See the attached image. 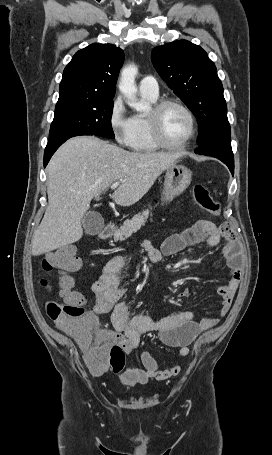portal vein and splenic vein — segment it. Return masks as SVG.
I'll return each instance as SVG.
<instances>
[{"label":"portal vein and splenic vein","mask_w":272,"mask_h":455,"mask_svg":"<svg viewBox=\"0 0 272 455\" xmlns=\"http://www.w3.org/2000/svg\"><path fill=\"white\" fill-rule=\"evenodd\" d=\"M120 182L119 181H116L114 182L112 185H111V189H115L119 186Z\"/></svg>","instance_id":"portal-vein-and-splenic-vein-1"}]
</instances>
